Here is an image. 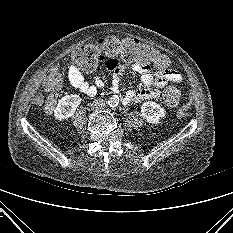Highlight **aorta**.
Listing matches in <instances>:
<instances>
[{"label":"aorta","mask_w":233,"mask_h":233,"mask_svg":"<svg viewBox=\"0 0 233 233\" xmlns=\"http://www.w3.org/2000/svg\"><path fill=\"white\" fill-rule=\"evenodd\" d=\"M118 103H119V97L117 95H112L108 100V104L111 107H116Z\"/></svg>","instance_id":"1"}]
</instances>
